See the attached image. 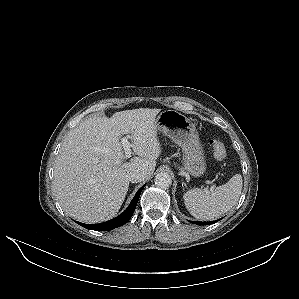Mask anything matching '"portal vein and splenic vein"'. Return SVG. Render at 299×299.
I'll list each match as a JSON object with an SVG mask.
<instances>
[{
  "mask_svg": "<svg viewBox=\"0 0 299 299\" xmlns=\"http://www.w3.org/2000/svg\"><path fill=\"white\" fill-rule=\"evenodd\" d=\"M129 138H130V136L127 135V136H125V137H123V138L121 139V142H122V145H123V148H124V152H125V154H124V158H125V159L130 158V157H131V154H132V152H131V147H132V145H131L130 142L128 141ZM213 188H214V186L211 187V190H213Z\"/></svg>",
  "mask_w": 299,
  "mask_h": 299,
  "instance_id": "18ae733b",
  "label": "portal vein and splenic vein"
}]
</instances>
